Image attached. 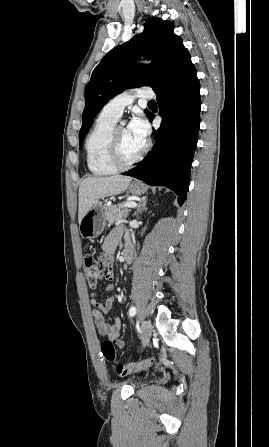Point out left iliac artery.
I'll return each mask as SVG.
<instances>
[{
  "mask_svg": "<svg viewBox=\"0 0 269 447\" xmlns=\"http://www.w3.org/2000/svg\"><path fill=\"white\" fill-rule=\"evenodd\" d=\"M136 308L135 307H131L130 308V310H129V315L131 316V317H133L135 314H136Z\"/></svg>",
  "mask_w": 269,
  "mask_h": 447,
  "instance_id": "1",
  "label": "left iliac artery"
}]
</instances>
